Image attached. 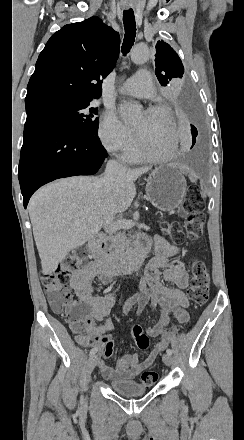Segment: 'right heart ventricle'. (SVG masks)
Returning a JSON list of instances; mask_svg holds the SVG:
<instances>
[{
    "instance_id": "e07e8e85",
    "label": "right heart ventricle",
    "mask_w": 244,
    "mask_h": 440,
    "mask_svg": "<svg viewBox=\"0 0 244 440\" xmlns=\"http://www.w3.org/2000/svg\"><path fill=\"white\" fill-rule=\"evenodd\" d=\"M122 160L133 164L147 163L150 160V156L145 152L144 147H141L140 143H137L132 150L124 152Z\"/></svg>"
}]
</instances>
